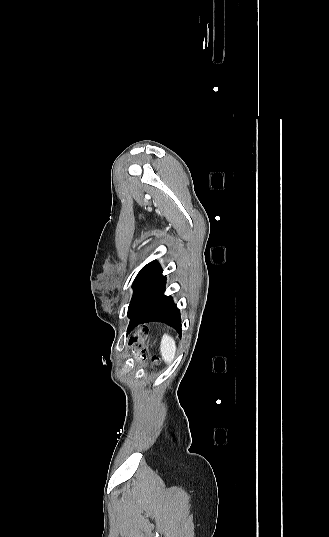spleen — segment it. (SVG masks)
Instances as JSON below:
<instances>
[{
	"label": "spleen",
	"instance_id": "obj_1",
	"mask_svg": "<svg viewBox=\"0 0 329 537\" xmlns=\"http://www.w3.org/2000/svg\"><path fill=\"white\" fill-rule=\"evenodd\" d=\"M160 350L164 361L171 363L176 353V343L173 337L168 334L163 335Z\"/></svg>",
	"mask_w": 329,
	"mask_h": 537
}]
</instances>
